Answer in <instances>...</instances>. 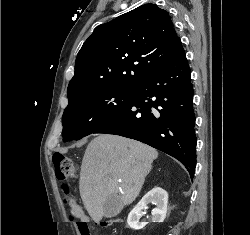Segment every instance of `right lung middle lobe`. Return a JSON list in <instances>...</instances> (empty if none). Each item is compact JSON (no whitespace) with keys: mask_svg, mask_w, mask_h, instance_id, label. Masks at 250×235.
<instances>
[{"mask_svg":"<svg viewBox=\"0 0 250 235\" xmlns=\"http://www.w3.org/2000/svg\"><path fill=\"white\" fill-rule=\"evenodd\" d=\"M134 89H101L69 102L63 117V141L79 140L110 120L131 99Z\"/></svg>","mask_w":250,"mask_h":235,"instance_id":"obj_1","label":"right lung middle lobe"}]
</instances>
